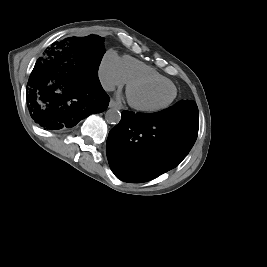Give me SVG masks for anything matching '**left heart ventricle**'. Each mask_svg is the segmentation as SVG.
Wrapping results in <instances>:
<instances>
[{
  "instance_id": "obj_1",
  "label": "left heart ventricle",
  "mask_w": 267,
  "mask_h": 267,
  "mask_svg": "<svg viewBox=\"0 0 267 267\" xmlns=\"http://www.w3.org/2000/svg\"><path fill=\"white\" fill-rule=\"evenodd\" d=\"M174 95V89L168 84H146L135 86L130 91V98L144 106H160L167 103Z\"/></svg>"
}]
</instances>
